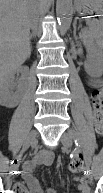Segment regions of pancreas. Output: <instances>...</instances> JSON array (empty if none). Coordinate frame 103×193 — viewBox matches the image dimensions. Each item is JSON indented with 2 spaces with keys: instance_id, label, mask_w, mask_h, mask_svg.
Segmentation results:
<instances>
[{
  "instance_id": "obj_1",
  "label": "pancreas",
  "mask_w": 103,
  "mask_h": 193,
  "mask_svg": "<svg viewBox=\"0 0 103 193\" xmlns=\"http://www.w3.org/2000/svg\"><path fill=\"white\" fill-rule=\"evenodd\" d=\"M83 42L87 45V44H88V39H87V38H84V39H83Z\"/></svg>"
}]
</instances>
